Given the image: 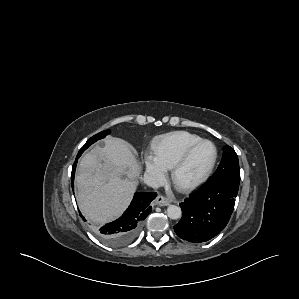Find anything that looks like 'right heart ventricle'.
Listing matches in <instances>:
<instances>
[{"label":"right heart ventricle","mask_w":299,"mask_h":299,"mask_svg":"<svg viewBox=\"0 0 299 299\" xmlns=\"http://www.w3.org/2000/svg\"><path fill=\"white\" fill-rule=\"evenodd\" d=\"M200 140L199 136L184 131L159 136L152 144L153 157L165 170H171L184 153Z\"/></svg>","instance_id":"1"}]
</instances>
